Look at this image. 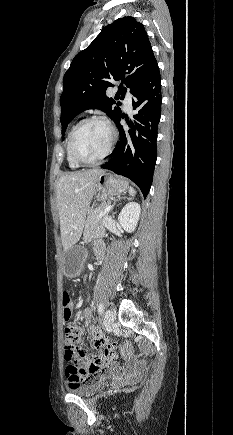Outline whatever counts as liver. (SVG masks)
Returning <instances> with one entry per match:
<instances>
[{
	"mask_svg": "<svg viewBox=\"0 0 233 435\" xmlns=\"http://www.w3.org/2000/svg\"><path fill=\"white\" fill-rule=\"evenodd\" d=\"M101 169L72 172L60 177L56 185L63 249L72 247L81 237L86 213L95 192Z\"/></svg>",
	"mask_w": 233,
	"mask_h": 435,
	"instance_id": "1",
	"label": "liver"
}]
</instances>
